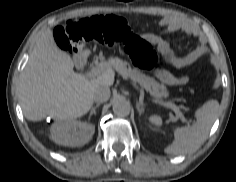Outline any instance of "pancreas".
Instances as JSON below:
<instances>
[{
	"instance_id": "pancreas-1",
	"label": "pancreas",
	"mask_w": 236,
	"mask_h": 182,
	"mask_svg": "<svg viewBox=\"0 0 236 182\" xmlns=\"http://www.w3.org/2000/svg\"><path fill=\"white\" fill-rule=\"evenodd\" d=\"M101 63L114 66L123 78H130L134 82L139 83L141 87L156 98L166 97L168 94L164 85H160L154 78L143 74L140 70L136 68L132 69L127 62L114 59L110 60L108 63L101 60Z\"/></svg>"
}]
</instances>
